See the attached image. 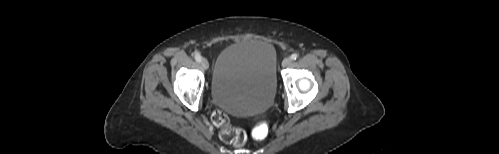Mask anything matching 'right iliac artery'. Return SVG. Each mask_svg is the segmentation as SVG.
<instances>
[{"label":"right iliac artery","mask_w":499,"mask_h":154,"mask_svg":"<svg viewBox=\"0 0 499 154\" xmlns=\"http://www.w3.org/2000/svg\"><path fill=\"white\" fill-rule=\"evenodd\" d=\"M194 57H195V60L197 62H201V56H200V54L196 53Z\"/></svg>","instance_id":"obj_1"}]
</instances>
